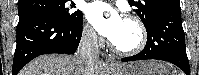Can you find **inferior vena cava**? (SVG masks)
I'll return each instance as SVG.
<instances>
[{
    "label": "inferior vena cava",
    "mask_w": 199,
    "mask_h": 75,
    "mask_svg": "<svg viewBox=\"0 0 199 75\" xmlns=\"http://www.w3.org/2000/svg\"><path fill=\"white\" fill-rule=\"evenodd\" d=\"M78 55L86 65L84 75H94L95 64L99 61L98 40L95 31H85L78 49Z\"/></svg>",
    "instance_id": "obj_1"
}]
</instances>
